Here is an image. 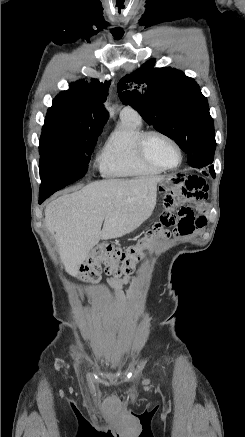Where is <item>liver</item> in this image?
<instances>
[{
  "instance_id": "liver-1",
  "label": "liver",
  "mask_w": 245,
  "mask_h": 437,
  "mask_svg": "<svg viewBox=\"0 0 245 437\" xmlns=\"http://www.w3.org/2000/svg\"><path fill=\"white\" fill-rule=\"evenodd\" d=\"M162 179L103 180L50 202L45 225L57 241L66 271L76 276L100 240L120 238L145 222L155 208L157 184Z\"/></svg>"
}]
</instances>
